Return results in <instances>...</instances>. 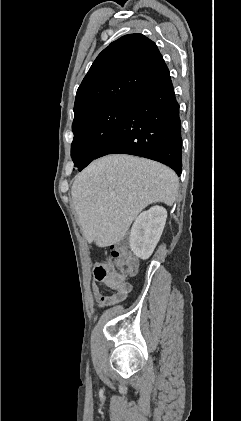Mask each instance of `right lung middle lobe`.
Returning <instances> with one entry per match:
<instances>
[{"instance_id": "1", "label": "right lung middle lobe", "mask_w": 241, "mask_h": 421, "mask_svg": "<svg viewBox=\"0 0 241 421\" xmlns=\"http://www.w3.org/2000/svg\"><path fill=\"white\" fill-rule=\"evenodd\" d=\"M130 100L118 101L93 110L73 121L74 139L71 157L75 167L82 170L119 128Z\"/></svg>"}]
</instances>
